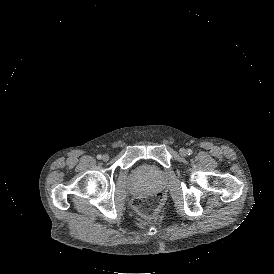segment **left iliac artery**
Masks as SVG:
<instances>
[{"instance_id": "obj_1", "label": "left iliac artery", "mask_w": 274, "mask_h": 274, "mask_svg": "<svg viewBox=\"0 0 274 274\" xmlns=\"http://www.w3.org/2000/svg\"><path fill=\"white\" fill-rule=\"evenodd\" d=\"M192 153H193V151H192L191 149H188V150H187V154H188V155H192Z\"/></svg>"}]
</instances>
